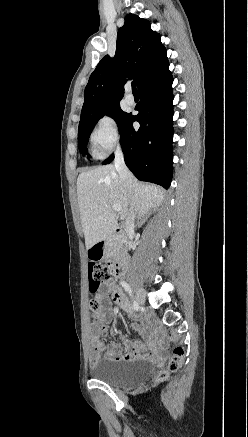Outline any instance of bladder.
<instances>
[{
  "label": "bladder",
  "instance_id": "bladder-1",
  "mask_svg": "<svg viewBox=\"0 0 248 437\" xmlns=\"http://www.w3.org/2000/svg\"><path fill=\"white\" fill-rule=\"evenodd\" d=\"M155 371V365L149 360L129 361L102 360L92 371L95 379L114 387H126L149 379Z\"/></svg>",
  "mask_w": 248,
  "mask_h": 437
}]
</instances>
